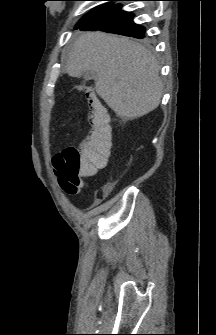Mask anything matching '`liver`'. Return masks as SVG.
<instances>
[{
    "instance_id": "liver-1",
    "label": "liver",
    "mask_w": 216,
    "mask_h": 335,
    "mask_svg": "<svg viewBox=\"0 0 216 335\" xmlns=\"http://www.w3.org/2000/svg\"><path fill=\"white\" fill-rule=\"evenodd\" d=\"M66 73L95 74L97 94L120 118L142 117L158 107L163 93L160 67L143 45L101 31L81 34L69 53Z\"/></svg>"
}]
</instances>
